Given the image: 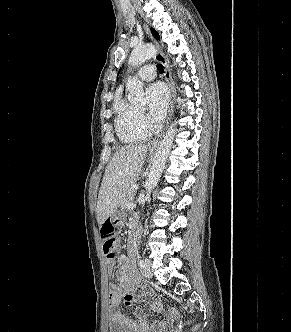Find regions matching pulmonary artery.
Here are the masks:
<instances>
[{
  "label": "pulmonary artery",
  "mask_w": 291,
  "mask_h": 332,
  "mask_svg": "<svg viewBox=\"0 0 291 332\" xmlns=\"http://www.w3.org/2000/svg\"><path fill=\"white\" fill-rule=\"evenodd\" d=\"M136 76L144 81H150L155 79L156 77V71L155 68L151 65H146L140 68Z\"/></svg>",
  "instance_id": "pulmonary-artery-1"
}]
</instances>
